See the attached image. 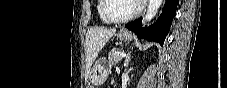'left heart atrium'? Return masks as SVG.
<instances>
[{
	"instance_id": "1",
	"label": "left heart atrium",
	"mask_w": 227,
	"mask_h": 88,
	"mask_svg": "<svg viewBox=\"0 0 227 88\" xmlns=\"http://www.w3.org/2000/svg\"><path fill=\"white\" fill-rule=\"evenodd\" d=\"M138 3H144V1L143 0H139Z\"/></svg>"
}]
</instances>
